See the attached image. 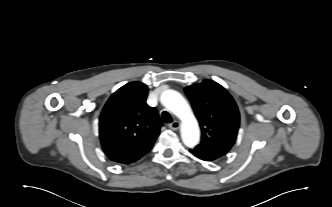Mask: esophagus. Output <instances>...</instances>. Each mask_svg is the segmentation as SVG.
<instances>
[{
	"label": "esophagus",
	"mask_w": 332,
	"mask_h": 207,
	"mask_svg": "<svg viewBox=\"0 0 332 207\" xmlns=\"http://www.w3.org/2000/svg\"><path fill=\"white\" fill-rule=\"evenodd\" d=\"M179 126H180V124L178 121H173L172 123L169 124V128L171 130H177V129H179Z\"/></svg>",
	"instance_id": "1"
}]
</instances>
